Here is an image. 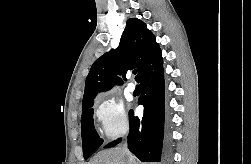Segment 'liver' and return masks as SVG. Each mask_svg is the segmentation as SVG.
I'll use <instances>...</instances> for the list:
<instances>
[{"label": "liver", "mask_w": 251, "mask_h": 164, "mask_svg": "<svg viewBox=\"0 0 251 164\" xmlns=\"http://www.w3.org/2000/svg\"><path fill=\"white\" fill-rule=\"evenodd\" d=\"M87 164H140L127 150L122 148L103 150Z\"/></svg>", "instance_id": "liver-1"}]
</instances>
